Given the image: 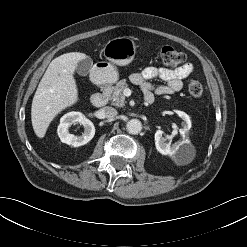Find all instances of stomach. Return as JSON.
I'll list each match as a JSON object with an SVG mask.
<instances>
[{"label":"stomach","mask_w":247,"mask_h":247,"mask_svg":"<svg viewBox=\"0 0 247 247\" xmlns=\"http://www.w3.org/2000/svg\"><path fill=\"white\" fill-rule=\"evenodd\" d=\"M103 54L108 62H98L95 65L93 76L100 84H112L119 77L115 65L125 66L131 63L136 54V45L129 37H117L105 44Z\"/></svg>","instance_id":"0dacf381"}]
</instances>
